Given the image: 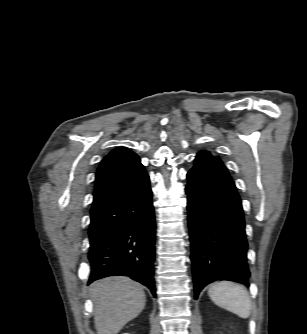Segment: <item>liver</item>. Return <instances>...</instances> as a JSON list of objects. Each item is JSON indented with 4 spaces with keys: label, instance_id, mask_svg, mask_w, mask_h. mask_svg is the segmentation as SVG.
Returning <instances> with one entry per match:
<instances>
[{
    "label": "liver",
    "instance_id": "obj_1",
    "mask_svg": "<svg viewBox=\"0 0 307 334\" xmlns=\"http://www.w3.org/2000/svg\"><path fill=\"white\" fill-rule=\"evenodd\" d=\"M97 334H117L144 309L145 293L140 284L126 277H108L90 286Z\"/></svg>",
    "mask_w": 307,
    "mask_h": 334
}]
</instances>
